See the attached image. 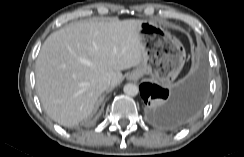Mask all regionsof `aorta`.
<instances>
[{
    "instance_id": "aorta-1",
    "label": "aorta",
    "mask_w": 244,
    "mask_h": 157,
    "mask_svg": "<svg viewBox=\"0 0 244 157\" xmlns=\"http://www.w3.org/2000/svg\"><path fill=\"white\" fill-rule=\"evenodd\" d=\"M123 91L128 96H136L139 92V88L136 84L128 83L124 86Z\"/></svg>"
}]
</instances>
